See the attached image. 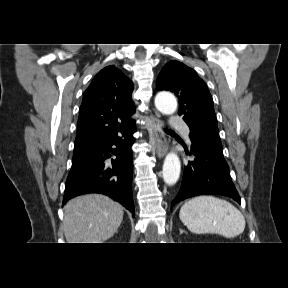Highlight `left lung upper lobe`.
Instances as JSON below:
<instances>
[{
    "label": "left lung upper lobe",
    "mask_w": 288,
    "mask_h": 288,
    "mask_svg": "<svg viewBox=\"0 0 288 288\" xmlns=\"http://www.w3.org/2000/svg\"><path fill=\"white\" fill-rule=\"evenodd\" d=\"M157 88L177 95L180 104L178 114L188 124L190 137L200 138L223 150L212 96L193 69L179 61L168 62L158 76Z\"/></svg>",
    "instance_id": "obj_1"
}]
</instances>
